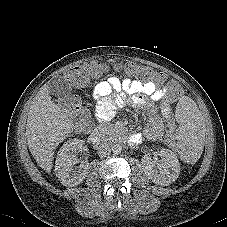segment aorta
<instances>
[{
	"mask_svg": "<svg viewBox=\"0 0 227 227\" xmlns=\"http://www.w3.org/2000/svg\"><path fill=\"white\" fill-rule=\"evenodd\" d=\"M111 150L114 154H119L122 151V146L120 144H114Z\"/></svg>",
	"mask_w": 227,
	"mask_h": 227,
	"instance_id": "aorta-1",
	"label": "aorta"
}]
</instances>
